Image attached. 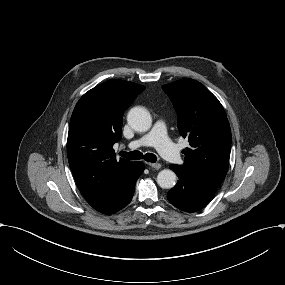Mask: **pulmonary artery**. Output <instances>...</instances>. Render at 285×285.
Returning <instances> with one entry per match:
<instances>
[{
  "label": "pulmonary artery",
  "mask_w": 285,
  "mask_h": 285,
  "mask_svg": "<svg viewBox=\"0 0 285 285\" xmlns=\"http://www.w3.org/2000/svg\"><path fill=\"white\" fill-rule=\"evenodd\" d=\"M140 146H154L164 158L175 160L179 158L181 150L180 146L168 141L166 124L162 120H158L148 133L129 144L131 149Z\"/></svg>",
  "instance_id": "obj_1"
}]
</instances>
